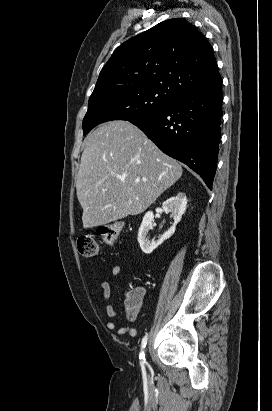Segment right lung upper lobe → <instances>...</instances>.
Listing matches in <instances>:
<instances>
[{"label":"right lung upper lobe","mask_w":272,"mask_h":411,"mask_svg":"<svg viewBox=\"0 0 272 411\" xmlns=\"http://www.w3.org/2000/svg\"><path fill=\"white\" fill-rule=\"evenodd\" d=\"M221 80L210 43L188 21L174 18L121 44L100 72L93 92L153 87L168 90L177 99Z\"/></svg>","instance_id":"1"}]
</instances>
